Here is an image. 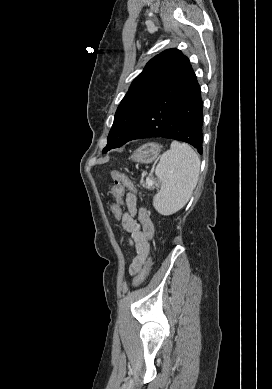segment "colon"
Returning a JSON list of instances; mask_svg holds the SVG:
<instances>
[{"instance_id": "5ec220e1", "label": "colon", "mask_w": 272, "mask_h": 389, "mask_svg": "<svg viewBox=\"0 0 272 389\" xmlns=\"http://www.w3.org/2000/svg\"><path fill=\"white\" fill-rule=\"evenodd\" d=\"M111 177L113 180V187L111 190V195L113 197L114 203L111 207L112 214L115 219L120 220L122 216V197L124 194V189L134 190V186L131 180L123 172L119 170H113L111 172ZM151 267V262L148 260L138 276L134 280V286H140L145 279L147 278Z\"/></svg>"}]
</instances>
